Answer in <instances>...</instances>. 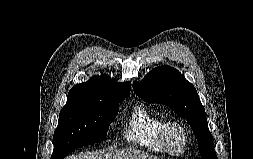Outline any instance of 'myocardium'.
I'll list each match as a JSON object with an SVG mask.
<instances>
[{
    "instance_id": "f54148a6",
    "label": "myocardium",
    "mask_w": 253,
    "mask_h": 159,
    "mask_svg": "<svg viewBox=\"0 0 253 159\" xmlns=\"http://www.w3.org/2000/svg\"><path fill=\"white\" fill-rule=\"evenodd\" d=\"M172 130H177L181 134L182 146L179 150L173 149L169 144V134ZM160 143L162 147L170 154L175 156L181 155L185 151L188 144V136L184 125L175 119L166 120L160 130Z\"/></svg>"
}]
</instances>
